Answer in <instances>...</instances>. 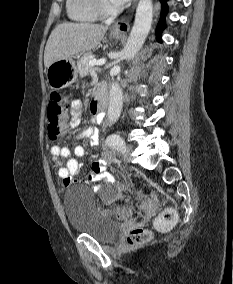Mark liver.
I'll use <instances>...</instances> for the list:
<instances>
[{
    "mask_svg": "<svg viewBox=\"0 0 233 284\" xmlns=\"http://www.w3.org/2000/svg\"><path fill=\"white\" fill-rule=\"evenodd\" d=\"M107 26L89 23H62L51 32L44 51V65L67 59L75 54L89 51L98 46Z\"/></svg>",
    "mask_w": 233,
    "mask_h": 284,
    "instance_id": "liver-1",
    "label": "liver"
}]
</instances>
